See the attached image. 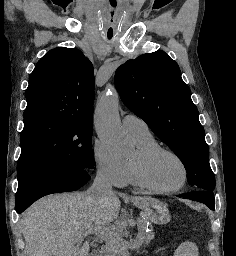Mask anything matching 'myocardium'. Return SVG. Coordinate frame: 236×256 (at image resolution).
<instances>
[{"label":"myocardium","mask_w":236,"mask_h":256,"mask_svg":"<svg viewBox=\"0 0 236 256\" xmlns=\"http://www.w3.org/2000/svg\"><path fill=\"white\" fill-rule=\"evenodd\" d=\"M159 154H169L175 157L183 167L184 177L180 184L174 187H161L155 184L149 175V164L151 160ZM131 166L137 183L147 190L158 193H170L181 189L188 181L189 170L184 159L175 151L162 146H155L147 149H138L134 159L131 161Z\"/></svg>","instance_id":"f54148a6"}]
</instances>
